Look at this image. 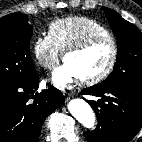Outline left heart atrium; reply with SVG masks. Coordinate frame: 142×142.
Instances as JSON below:
<instances>
[{
    "instance_id": "left-heart-atrium-1",
    "label": "left heart atrium",
    "mask_w": 142,
    "mask_h": 142,
    "mask_svg": "<svg viewBox=\"0 0 142 142\" xmlns=\"http://www.w3.org/2000/svg\"><path fill=\"white\" fill-rule=\"evenodd\" d=\"M79 79L74 68L66 61L58 66L51 74V82L57 88L63 89Z\"/></svg>"
}]
</instances>
